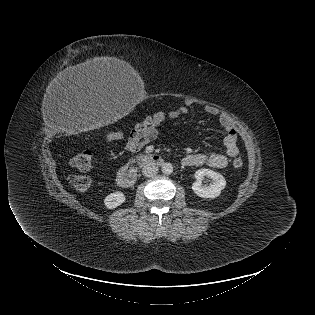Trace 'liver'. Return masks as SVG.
<instances>
[{
	"label": "liver",
	"mask_w": 315,
	"mask_h": 315,
	"mask_svg": "<svg viewBox=\"0 0 315 315\" xmlns=\"http://www.w3.org/2000/svg\"><path fill=\"white\" fill-rule=\"evenodd\" d=\"M58 78L69 84H88L136 82L139 76L128 62L116 57L101 56L64 69Z\"/></svg>",
	"instance_id": "liver-1"
}]
</instances>
